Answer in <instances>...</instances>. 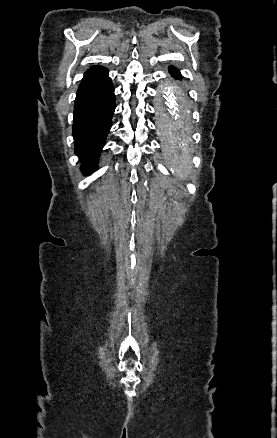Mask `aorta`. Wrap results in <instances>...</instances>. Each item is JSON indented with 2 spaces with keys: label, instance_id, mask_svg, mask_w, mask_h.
Segmentation results:
<instances>
[{
  "label": "aorta",
  "instance_id": "1",
  "mask_svg": "<svg viewBox=\"0 0 277 438\" xmlns=\"http://www.w3.org/2000/svg\"><path fill=\"white\" fill-rule=\"evenodd\" d=\"M165 106L158 107L159 132L165 140V155L171 170L179 177L190 172L186 144L190 133V116L184 101L170 85L161 87Z\"/></svg>",
  "mask_w": 277,
  "mask_h": 438
}]
</instances>
